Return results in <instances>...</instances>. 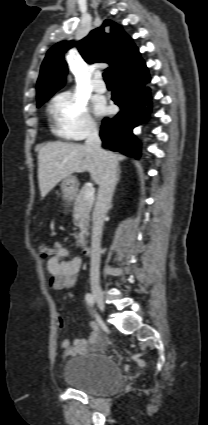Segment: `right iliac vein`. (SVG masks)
<instances>
[{
	"label": "right iliac vein",
	"mask_w": 208,
	"mask_h": 425,
	"mask_svg": "<svg viewBox=\"0 0 208 425\" xmlns=\"http://www.w3.org/2000/svg\"><path fill=\"white\" fill-rule=\"evenodd\" d=\"M93 296L101 310H104L105 308V302H104V294L101 289V286L98 283H92L91 285Z\"/></svg>",
	"instance_id": "right-iliac-vein-1"
}]
</instances>
